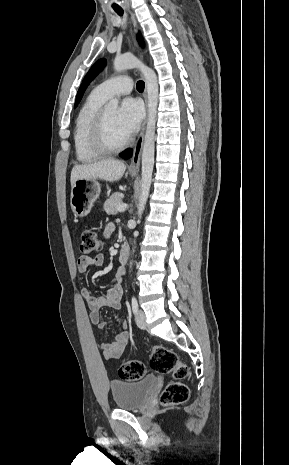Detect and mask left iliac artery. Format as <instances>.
I'll list each match as a JSON object with an SVG mask.
<instances>
[{
    "label": "left iliac artery",
    "mask_w": 289,
    "mask_h": 465,
    "mask_svg": "<svg viewBox=\"0 0 289 465\" xmlns=\"http://www.w3.org/2000/svg\"><path fill=\"white\" fill-rule=\"evenodd\" d=\"M131 305H132L133 313L136 314L137 311H138V302H137V299L134 296L131 299Z\"/></svg>",
    "instance_id": "44dca946"
}]
</instances>
